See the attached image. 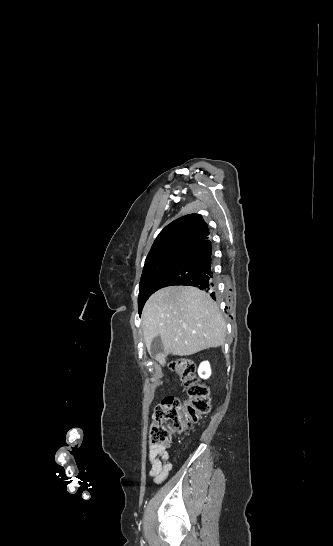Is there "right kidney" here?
Segmentation results:
<instances>
[{
    "instance_id": "ca27d5eb",
    "label": "right kidney",
    "mask_w": 333,
    "mask_h": 546,
    "mask_svg": "<svg viewBox=\"0 0 333 546\" xmlns=\"http://www.w3.org/2000/svg\"><path fill=\"white\" fill-rule=\"evenodd\" d=\"M198 374L201 378L207 379L211 375V368L208 361H204L200 364L198 368Z\"/></svg>"
}]
</instances>
